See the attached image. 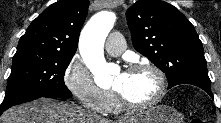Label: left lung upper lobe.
I'll list each match as a JSON object with an SVG mask.
<instances>
[{
    "label": "left lung upper lobe",
    "mask_w": 221,
    "mask_h": 123,
    "mask_svg": "<svg viewBox=\"0 0 221 123\" xmlns=\"http://www.w3.org/2000/svg\"><path fill=\"white\" fill-rule=\"evenodd\" d=\"M126 18L134 48L166 74L168 88L189 82L210 85L202 42L176 7L138 0Z\"/></svg>",
    "instance_id": "1"
}]
</instances>
